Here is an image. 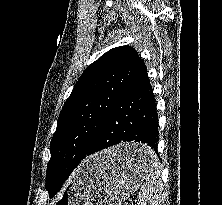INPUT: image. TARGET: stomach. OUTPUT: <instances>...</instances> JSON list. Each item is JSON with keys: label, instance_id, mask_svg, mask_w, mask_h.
I'll return each instance as SVG.
<instances>
[{"label": "stomach", "instance_id": "obj_1", "mask_svg": "<svg viewBox=\"0 0 222 205\" xmlns=\"http://www.w3.org/2000/svg\"><path fill=\"white\" fill-rule=\"evenodd\" d=\"M146 150L145 144L127 143L87 158L73 173L53 205H122L143 183L153 162L132 165L121 161L129 151Z\"/></svg>", "mask_w": 222, "mask_h": 205}]
</instances>
